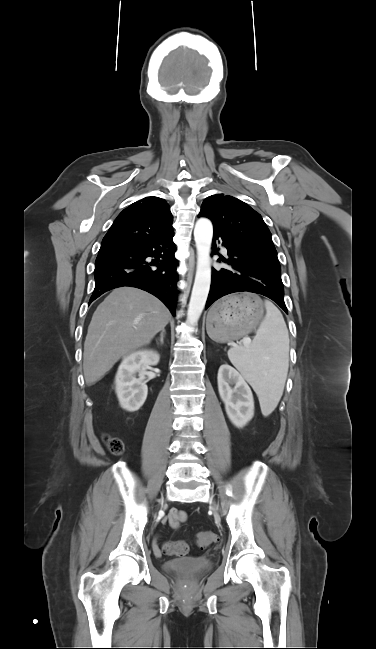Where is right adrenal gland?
<instances>
[{
  "label": "right adrenal gland",
  "mask_w": 376,
  "mask_h": 649,
  "mask_svg": "<svg viewBox=\"0 0 376 649\" xmlns=\"http://www.w3.org/2000/svg\"><path fill=\"white\" fill-rule=\"evenodd\" d=\"M164 337H165V329H162L160 334V339H159L160 345L164 344Z\"/></svg>",
  "instance_id": "obj_1"
}]
</instances>
